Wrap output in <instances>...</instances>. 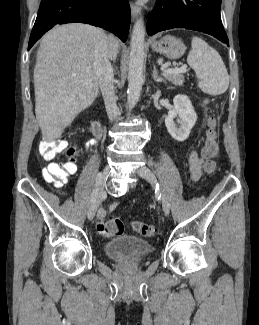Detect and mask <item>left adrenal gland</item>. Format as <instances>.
Masks as SVG:
<instances>
[{"label":"left adrenal gland","instance_id":"obj_1","mask_svg":"<svg viewBox=\"0 0 259 325\" xmlns=\"http://www.w3.org/2000/svg\"><path fill=\"white\" fill-rule=\"evenodd\" d=\"M152 78H153V80H154L155 82H157V83H158V82H160V83H165V80H164L162 77L158 76V71H157V68H156L155 65H153Z\"/></svg>","mask_w":259,"mask_h":325}]
</instances>
